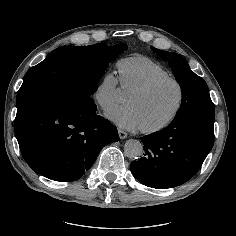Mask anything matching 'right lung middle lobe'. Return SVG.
Returning <instances> with one entry per match:
<instances>
[{
	"mask_svg": "<svg viewBox=\"0 0 236 236\" xmlns=\"http://www.w3.org/2000/svg\"><path fill=\"white\" fill-rule=\"evenodd\" d=\"M127 46H66L53 50L25 74L17 94V113L43 101L77 99L94 102L91 95L108 64Z\"/></svg>",
	"mask_w": 236,
	"mask_h": 236,
	"instance_id": "right-lung-middle-lobe-1",
	"label": "right lung middle lobe"
}]
</instances>
